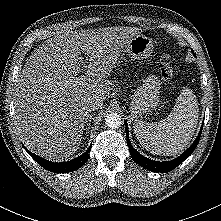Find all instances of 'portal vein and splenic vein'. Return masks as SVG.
I'll list each match as a JSON object with an SVG mask.
<instances>
[{
  "instance_id": "obj_1",
  "label": "portal vein and splenic vein",
  "mask_w": 221,
  "mask_h": 221,
  "mask_svg": "<svg viewBox=\"0 0 221 221\" xmlns=\"http://www.w3.org/2000/svg\"><path fill=\"white\" fill-rule=\"evenodd\" d=\"M87 80V76L86 75H82V76H80V78H79V81L80 82H85Z\"/></svg>"
}]
</instances>
